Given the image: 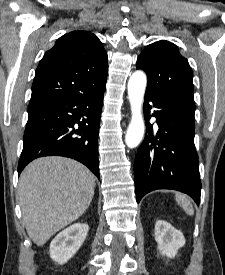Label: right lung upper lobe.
I'll list each match as a JSON object with an SVG mask.
<instances>
[{
	"mask_svg": "<svg viewBox=\"0 0 225 275\" xmlns=\"http://www.w3.org/2000/svg\"><path fill=\"white\" fill-rule=\"evenodd\" d=\"M107 53L91 32L60 37L40 61L28 108L97 91L107 78Z\"/></svg>",
	"mask_w": 225,
	"mask_h": 275,
	"instance_id": "cb5924a9",
	"label": "right lung upper lobe"
}]
</instances>
